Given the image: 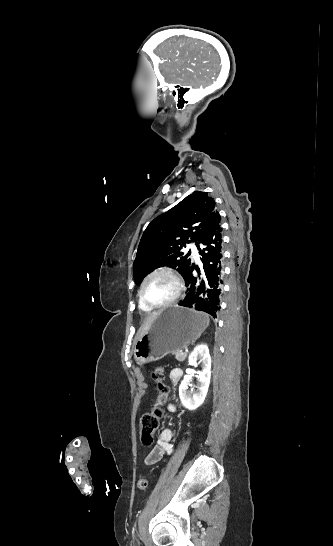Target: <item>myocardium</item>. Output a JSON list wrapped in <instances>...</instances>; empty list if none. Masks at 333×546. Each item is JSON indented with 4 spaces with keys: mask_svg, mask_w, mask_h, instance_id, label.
<instances>
[{
    "mask_svg": "<svg viewBox=\"0 0 333 546\" xmlns=\"http://www.w3.org/2000/svg\"><path fill=\"white\" fill-rule=\"evenodd\" d=\"M159 274H167L170 277H172L173 280L176 283L177 290H176L175 295L170 300H168V301H166V302H164L162 304H153L145 296V287H146L147 283L154 276L159 275ZM183 291H184V282H183L182 277L180 276V274L175 269H173L172 267H167L166 266V267H160V268L152 271L144 279V281L141 284L140 290H139V295H140V298H141V300L143 301V303L145 305H147L148 307H150L152 309H160V308H164V307H167V306H170V305L174 304L180 298Z\"/></svg>",
    "mask_w": 333,
    "mask_h": 546,
    "instance_id": "myocardium-1",
    "label": "myocardium"
}]
</instances>
